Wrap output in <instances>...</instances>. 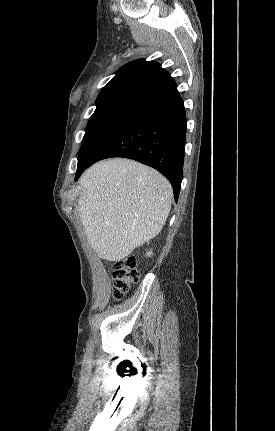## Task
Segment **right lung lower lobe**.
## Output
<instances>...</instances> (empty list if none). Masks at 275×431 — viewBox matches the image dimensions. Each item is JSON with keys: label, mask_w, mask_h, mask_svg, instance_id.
I'll return each instance as SVG.
<instances>
[{"label": "right lung lower lobe", "mask_w": 275, "mask_h": 431, "mask_svg": "<svg viewBox=\"0 0 275 431\" xmlns=\"http://www.w3.org/2000/svg\"><path fill=\"white\" fill-rule=\"evenodd\" d=\"M186 114L177 88L139 108L93 159L76 172L111 157L134 159L162 173L178 200L183 178Z\"/></svg>", "instance_id": "98d812e1"}]
</instances>
